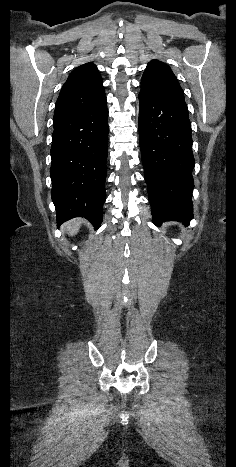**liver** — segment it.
Here are the masks:
<instances>
[{
  "mask_svg": "<svg viewBox=\"0 0 236 467\" xmlns=\"http://www.w3.org/2000/svg\"><path fill=\"white\" fill-rule=\"evenodd\" d=\"M81 223L82 221L80 219H73L65 223L63 228L70 236H74L78 233Z\"/></svg>",
  "mask_w": 236,
  "mask_h": 467,
  "instance_id": "liver-1",
  "label": "liver"
}]
</instances>
